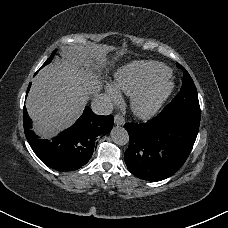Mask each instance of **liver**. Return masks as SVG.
Masks as SVG:
<instances>
[{
  "instance_id": "liver-1",
  "label": "liver",
  "mask_w": 228,
  "mask_h": 228,
  "mask_svg": "<svg viewBox=\"0 0 228 228\" xmlns=\"http://www.w3.org/2000/svg\"><path fill=\"white\" fill-rule=\"evenodd\" d=\"M105 47H85L43 67L33 79L26 108L33 130L52 138L69 128L83 113L89 95L101 88L100 71L107 62Z\"/></svg>"
}]
</instances>
